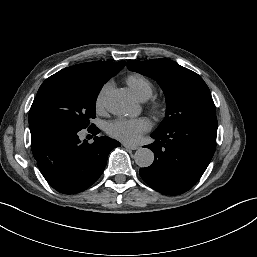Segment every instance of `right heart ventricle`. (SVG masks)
<instances>
[{
    "label": "right heart ventricle",
    "mask_w": 257,
    "mask_h": 257,
    "mask_svg": "<svg viewBox=\"0 0 257 257\" xmlns=\"http://www.w3.org/2000/svg\"><path fill=\"white\" fill-rule=\"evenodd\" d=\"M126 83L139 100H147L153 94L152 83L142 75H131L126 79Z\"/></svg>",
    "instance_id": "1"
}]
</instances>
